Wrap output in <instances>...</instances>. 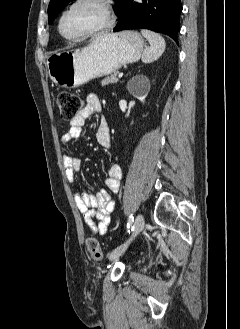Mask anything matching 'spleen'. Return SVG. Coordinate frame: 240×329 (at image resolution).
Listing matches in <instances>:
<instances>
[{"label":"spleen","mask_w":240,"mask_h":329,"mask_svg":"<svg viewBox=\"0 0 240 329\" xmlns=\"http://www.w3.org/2000/svg\"><path fill=\"white\" fill-rule=\"evenodd\" d=\"M141 33L150 44L142 54V61L144 63H151L162 55L166 47V42L160 34L153 31L143 29Z\"/></svg>","instance_id":"1"}]
</instances>
